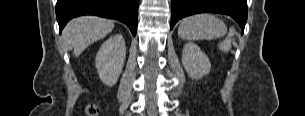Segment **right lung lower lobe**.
I'll return each instance as SVG.
<instances>
[{"label": "right lung lower lobe", "instance_id": "obj_1", "mask_svg": "<svg viewBox=\"0 0 305 116\" xmlns=\"http://www.w3.org/2000/svg\"><path fill=\"white\" fill-rule=\"evenodd\" d=\"M139 0H57L56 17L60 32L76 16L97 15L124 22L136 35Z\"/></svg>", "mask_w": 305, "mask_h": 116}]
</instances>
